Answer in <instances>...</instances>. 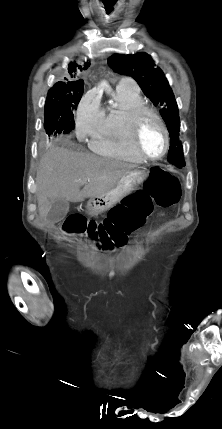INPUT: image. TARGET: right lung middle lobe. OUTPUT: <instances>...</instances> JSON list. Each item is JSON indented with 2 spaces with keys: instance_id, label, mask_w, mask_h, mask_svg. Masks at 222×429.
I'll return each mask as SVG.
<instances>
[{
  "instance_id": "obj_1",
  "label": "right lung middle lobe",
  "mask_w": 222,
  "mask_h": 429,
  "mask_svg": "<svg viewBox=\"0 0 222 429\" xmlns=\"http://www.w3.org/2000/svg\"><path fill=\"white\" fill-rule=\"evenodd\" d=\"M83 91L84 84H78L65 92H48L44 127L51 139L68 134L74 129V111L77 109Z\"/></svg>"
}]
</instances>
